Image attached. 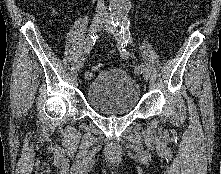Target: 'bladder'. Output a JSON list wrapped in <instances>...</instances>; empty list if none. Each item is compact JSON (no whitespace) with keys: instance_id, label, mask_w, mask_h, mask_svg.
<instances>
[{"instance_id":"1","label":"bladder","mask_w":221,"mask_h":174,"mask_svg":"<svg viewBox=\"0 0 221 174\" xmlns=\"http://www.w3.org/2000/svg\"><path fill=\"white\" fill-rule=\"evenodd\" d=\"M140 94L137 81L120 68L102 70L92 78L86 90L89 106L105 115L132 112L139 103Z\"/></svg>"}]
</instances>
